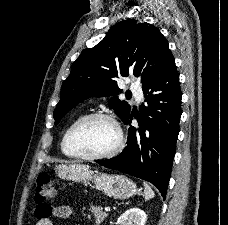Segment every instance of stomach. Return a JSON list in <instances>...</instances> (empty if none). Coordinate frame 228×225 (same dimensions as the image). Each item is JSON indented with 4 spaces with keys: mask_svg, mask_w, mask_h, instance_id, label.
<instances>
[{
    "mask_svg": "<svg viewBox=\"0 0 228 225\" xmlns=\"http://www.w3.org/2000/svg\"><path fill=\"white\" fill-rule=\"evenodd\" d=\"M60 179H70L75 183H89L92 181L98 191L113 199H130L139 193L137 185L124 175H107V173H93L88 165H58L55 169Z\"/></svg>",
    "mask_w": 228,
    "mask_h": 225,
    "instance_id": "obj_1",
    "label": "stomach"
}]
</instances>
